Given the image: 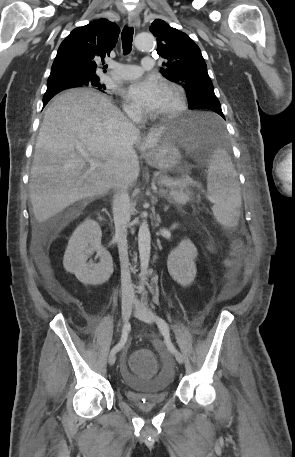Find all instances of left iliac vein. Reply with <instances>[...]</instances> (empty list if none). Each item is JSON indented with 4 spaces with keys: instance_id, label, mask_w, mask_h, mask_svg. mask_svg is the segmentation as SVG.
<instances>
[{
    "instance_id": "left-iliac-vein-1",
    "label": "left iliac vein",
    "mask_w": 295,
    "mask_h": 457,
    "mask_svg": "<svg viewBox=\"0 0 295 457\" xmlns=\"http://www.w3.org/2000/svg\"><path fill=\"white\" fill-rule=\"evenodd\" d=\"M135 315L138 319L148 324H152L155 321L154 316L138 303H136ZM174 356L178 363L182 364L184 362V357L179 351L174 353Z\"/></svg>"
}]
</instances>
